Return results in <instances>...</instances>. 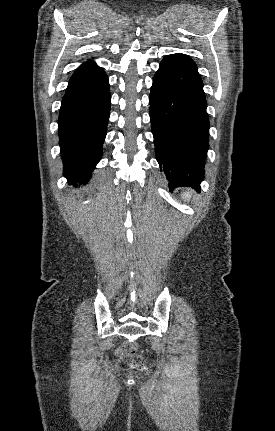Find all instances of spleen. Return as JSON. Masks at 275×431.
<instances>
[{
	"mask_svg": "<svg viewBox=\"0 0 275 431\" xmlns=\"http://www.w3.org/2000/svg\"><path fill=\"white\" fill-rule=\"evenodd\" d=\"M192 196V190H187L182 194L183 199L188 201Z\"/></svg>",
	"mask_w": 275,
	"mask_h": 431,
	"instance_id": "obj_1",
	"label": "spleen"
}]
</instances>
